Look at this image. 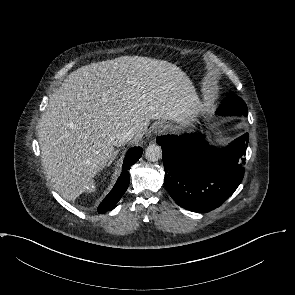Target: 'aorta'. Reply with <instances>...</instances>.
Segmentation results:
<instances>
[{
	"instance_id": "obj_1",
	"label": "aorta",
	"mask_w": 295,
	"mask_h": 295,
	"mask_svg": "<svg viewBox=\"0 0 295 295\" xmlns=\"http://www.w3.org/2000/svg\"><path fill=\"white\" fill-rule=\"evenodd\" d=\"M145 157L148 161L155 162L162 157V149L157 144L149 145L145 151Z\"/></svg>"
}]
</instances>
